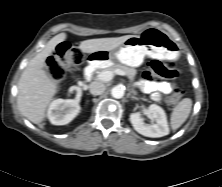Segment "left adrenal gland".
I'll return each mask as SVG.
<instances>
[{
  "mask_svg": "<svg viewBox=\"0 0 222 187\" xmlns=\"http://www.w3.org/2000/svg\"><path fill=\"white\" fill-rule=\"evenodd\" d=\"M131 99L138 100V98H136L135 96H131Z\"/></svg>",
  "mask_w": 222,
  "mask_h": 187,
  "instance_id": "obj_1",
  "label": "left adrenal gland"
}]
</instances>
